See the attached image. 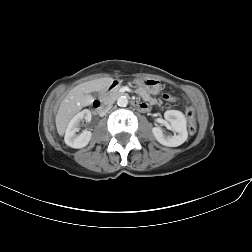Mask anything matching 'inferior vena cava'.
<instances>
[{"label":"inferior vena cava","mask_w":252,"mask_h":252,"mask_svg":"<svg viewBox=\"0 0 252 252\" xmlns=\"http://www.w3.org/2000/svg\"><path fill=\"white\" fill-rule=\"evenodd\" d=\"M111 108V105L107 106L102 112L101 115H105Z\"/></svg>","instance_id":"obj_1"}]
</instances>
